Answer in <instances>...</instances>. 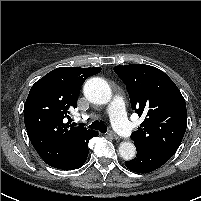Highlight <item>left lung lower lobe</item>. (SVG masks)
<instances>
[{
	"mask_svg": "<svg viewBox=\"0 0 201 201\" xmlns=\"http://www.w3.org/2000/svg\"><path fill=\"white\" fill-rule=\"evenodd\" d=\"M175 152L173 150H137L136 158L125 161V166L134 172L148 173L165 164Z\"/></svg>",
	"mask_w": 201,
	"mask_h": 201,
	"instance_id": "left-lung-lower-lobe-1",
	"label": "left lung lower lobe"
}]
</instances>
